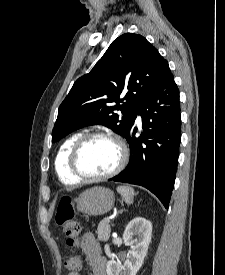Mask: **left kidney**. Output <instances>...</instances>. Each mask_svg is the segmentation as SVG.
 I'll use <instances>...</instances> for the list:
<instances>
[{
    "label": "left kidney",
    "instance_id": "1",
    "mask_svg": "<svg viewBox=\"0 0 225 275\" xmlns=\"http://www.w3.org/2000/svg\"><path fill=\"white\" fill-rule=\"evenodd\" d=\"M137 236V238H134ZM152 237V223L145 218L136 217L127 225L123 240L125 245L131 246V252L124 265L110 260L107 263V275H136L147 255Z\"/></svg>",
    "mask_w": 225,
    "mask_h": 275
}]
</instances>
